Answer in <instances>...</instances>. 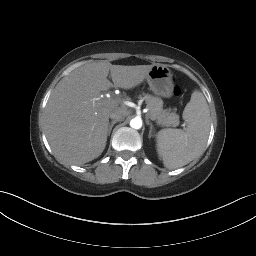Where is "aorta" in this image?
I'll list each match as a JSON object with an SVG mask.
<instances>
[{
	"instance_id": "1",
	"label": "aorta",
	"mask_w": 256,
	"mask_h": 256,
	"mask_svg": "<svg viewBox=\"0 0 256 256\" xmlns=\"http://www.w3.org/2000/svg\"><path fill=\"white\" fill-rule=\"evenodd\" d=\"M130 126L133 129H140L142 127V120L140 118H133L130 121Z\"/></svg>"
}]
</instances>
